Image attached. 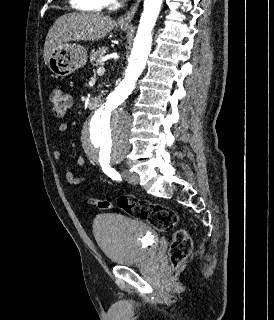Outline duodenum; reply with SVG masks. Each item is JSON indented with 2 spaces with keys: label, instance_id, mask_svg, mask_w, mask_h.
Here are the masks:
<instances>
[{
  "label": "duodenum",
  "instance_id": "obj_1",
  "mask_svg": "<svg viewBox=\"0 0 274 320\" xmlns=\"http://www.w3.org/2000/svg\"><path fill=\"white\" fill-rule=\"evenodd\" d=\"M100 106V99L97 97H93L89 101V108L90 109H97Z\"/></svg>",
  "mask_w": 274,
  "mask_h": 320
}]
</instances>
